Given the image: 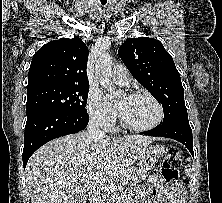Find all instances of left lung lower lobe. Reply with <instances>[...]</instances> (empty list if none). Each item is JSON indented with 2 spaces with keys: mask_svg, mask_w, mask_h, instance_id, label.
<instances>
[{
  "mask_svg": "<svg viewBox=\"0 0 222 203\" xmlns=\"http://www.w3.org/2000/svg\"><path fill=\"white\" fill-rule=\"evenodd\" d=\"M140 134L175 139L184 144L194 156L192 130L188 119H172L167 122H163L161 125L153 128L152 130L144 131Z\"/></svg>",
  "mask_w": 222,
  "mask_h": 203,
  "instance_id": "left-lung-lower-lobe-1",
  "label": "left lung lower lobe"
}]
</instances>
